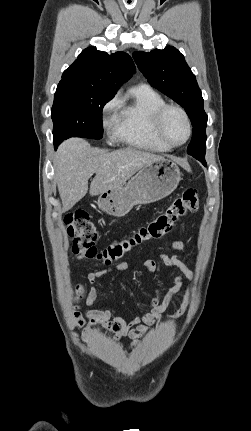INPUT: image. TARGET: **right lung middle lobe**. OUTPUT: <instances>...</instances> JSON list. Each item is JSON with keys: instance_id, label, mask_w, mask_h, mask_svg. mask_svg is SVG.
Masks as SVG:
<instances>
[{"instance_id": "right-lung-middle-lobe-1", "label": "right lung middle lobe", "mask_w": 251, "mask_h": 431, "mask_svg": "<svg viewBox=\"0 0 251 431\" xmlns=\"http://www.w3.org/2000/svg\"><path fill=\"white\" fill-rule=\"evenodd\" d=\"M113 94L69 84H58L51 109L53 139L60 144L69 137L101 139L102 109Z\"/></svg>"}]
</instances>
